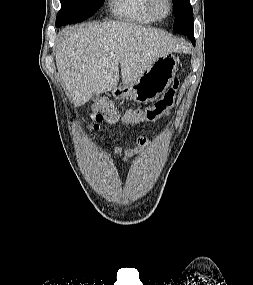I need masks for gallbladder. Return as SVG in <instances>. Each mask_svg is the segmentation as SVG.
Here are the masks:
<instances>
[{
    "mask_svg": "<svg viewBox=\"0 0 253 285\" xmlns=\"http://www.w3.org/2000/svg\"><path fill=\"white\" fill-rule=\"evenodd\" d=\"M95 97H97V94L96 93H92V98H95Z\"/></svg>",
    "mask_w": 253,
    "mask_h": 285,
    "instance_id": "1",
    "label": "gallbladder"
}]
</instances>
